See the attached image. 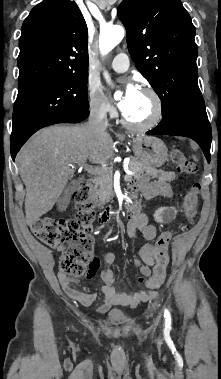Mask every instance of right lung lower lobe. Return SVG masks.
I'll return each mask as SVG.
<instances>
[{
    "mask_svg": "<svg viewBox=\"0 0 221 379\" xmlns=\"http://www.w3.org/2000/svg\"><path fill=\"white\" fill-rule=\"evenodd\" d=\"M88 115H89V111L87 110L86 112H84L81 115L63 119L57 123H79V122L83 121L84 119H86L88 117ZM26 140L27 139L19 141V142L11 143V146H10L11 147V156H12L13 160L15 159L17 152L20 150L21 146L26 142Z\"/></svg>",
    "mask_w": 221,
    "mask_h": 379,
    "instance_id": "1",
    "label": "right lung lower lobe"
}]
</instances>
